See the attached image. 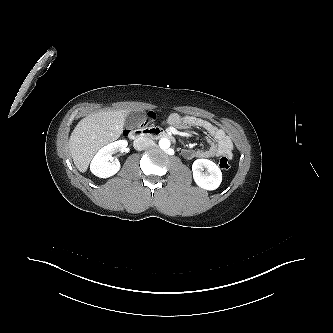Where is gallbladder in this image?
I'll return each mask as SVG.
<instances>
[{
  "label": "gallbladder",
  "instance_id": "gallbladder-1",
  "mask_svg": "<svg viewBox=\"0 0 333 333\" xmlns=\"http://www.w3.org/2000/svg\"><path fill=\"white\" fill-rule=\"evenodd\" d=\"M144 119V112L143 111H134L128 114L125 126L128 128H136L140 122H142Z\"/></svg>",
  "mask_w": 333,
  "mask_h": 333
}]
</instances>
